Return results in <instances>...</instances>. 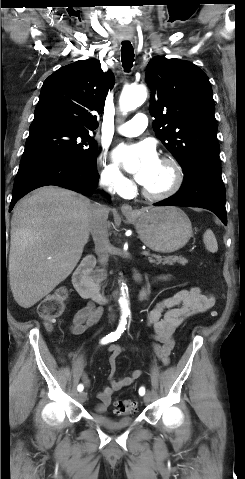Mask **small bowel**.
<instances>
[{"label":"small bowel","mask_w":245,"mask_h":479,"mask_svg":"<svg viewBox=\"0 0 245 479\" xmlns=\"http://www.w3.org/2000/svg\"><path fill=\"white\" fill-rule=\"evenodd\" d=\"M146 296L143 291L141 299ZM214 304V297L198 287L182 289L159 301L148 313L147 324L153 329V349L160 361L167 365L169 356L174 347V332L191 316L207 311ZM101 317V310L93 303L79 309L72 318L69 329L74 335L82 334L87 328L96 324ZM110 352L109 384L102 387L98 392V402L94 406L97 414L104 413L111 404L112 394L124 387L133 384L142 376L139 369L132 370L129 375L115 378L116 359L122 352L117 344L108 347ZM74 357V356H73ZM79 380L89 387L90 380L83 370L78 371Z\"/></svg>","instance_id":"small-bowel-1"}]
</instances>
